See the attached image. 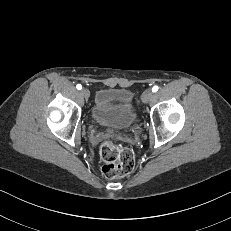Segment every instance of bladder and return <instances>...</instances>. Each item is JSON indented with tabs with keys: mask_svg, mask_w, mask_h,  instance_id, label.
<instances>
[{
	"mask_svg": "<svg viewBox=\"0 0 231 231\" xmlns=\"http://www.w3.org/2000/svg\"><path fill=\"white\" fill-rule=\"evenodd\" d=\"M91 117L102 124L127 128L134 124L133 94L125 88H105L96 93Z\"/></svg>",
	"mask_w": 231,
	"mask_h": 231,
	"instance_id": "1",
	"label": "bladder"
}]
</instances>
